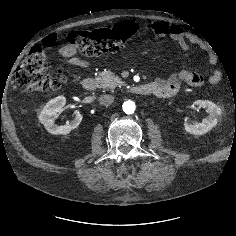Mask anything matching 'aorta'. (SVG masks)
Listing matches in <instances>:
<instances>
[{"mask_svg": "<svg viewBox=\"0 0 236 236\" xmlns=\"http://www.w3.org/2000/svg\"><path fill=\"white\" fill-rule=\"evenodd\" d=\"M123 107V111L126 113V114H133L135 109H136V105H135V102L131 101V100H127L123 103L122 105Z\"/></svg>", "mask_w": 236, "mask_h": 236, "instance_id": "obj_1", "label": "aorta"}]
</instances>
